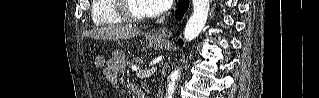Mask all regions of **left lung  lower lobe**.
<instances>
[{
	"label": "left lung lower lobe",
	"mask_w": 319,
	"mask_h": 98,
	"mask_svg": "<svg viewBox=\"0 0 319 98\" xmlns=\"http://www.w3.org/2000/svg\"><path fill=\"white\" fill-rule=\"evenodd\" d=\"M189 6V0H180L179 5H178V9L176 12V17L178 19H181L184 15V13L187 11ZM179 43L181 45H183V42L180 40Z\"/></svg>",
	"instance_id": "obj_1"
}]
</instances>
